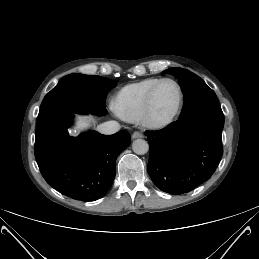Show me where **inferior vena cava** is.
Listing matches in <instances>:
<instances>
[{
  "mask_svg": "<svg viewBox=\"0 0 259 259\" xmlns=\"http://www.w3.org/2000/svg\"><path fill=\"white\" fill-rule=\"evenodd\" d=\"M120 124L117 121L111 120L97 126V131L101 134L110 135L120 130Z\"/></svg>",
  "mask_w": 259,
  "mask_h": 259,
  "instance_id": "602c4592",
  "label": "inferior vena cava"
}]
</instances>
